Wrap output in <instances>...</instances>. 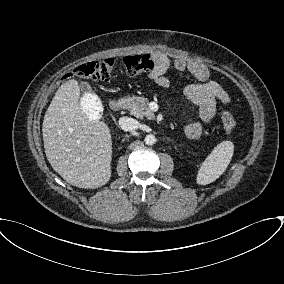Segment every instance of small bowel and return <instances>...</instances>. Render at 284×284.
Here are the masks:
<instances>
[{
    "mask_svg": "<svg viewBox=\"0 0 284 284\" xmlns=\"http://www.w3.org/2000/svg\"><path fill=\"white\" fill-rule=\"evenodd\" d=\"M154 68L150 73L151 80L161 88L169 86L167 76L169 70L188 72L195 78V82L184 88L185 97L199 107L200 117L204 124H210L216 117L217 103L228 104L230 97L220 83L210 80V71L202 63L186 61L182 58L171 59L162 52H153ZM185 135L189 139L199 140L203 134V126L193 123L185 128Z\"/></svg>",
    "mask_w": 284,
    "mask_h": 284,
    "instance_id": "c3829d8e",
    "label": "small bowel"
}]
</instances>
